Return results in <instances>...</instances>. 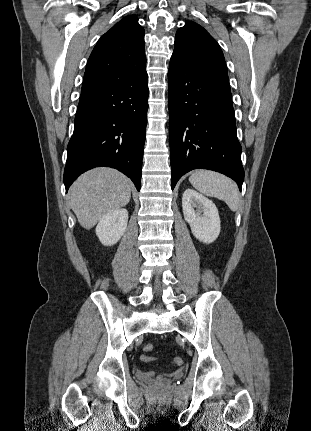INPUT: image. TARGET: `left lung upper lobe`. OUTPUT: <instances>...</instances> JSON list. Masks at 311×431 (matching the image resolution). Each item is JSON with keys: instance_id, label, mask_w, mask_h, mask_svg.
<instances>
[{"instance_id": "1", "label": "left lung upper lobe", "mask_w": 311, "mask_h": 431, "mask_svg": "<svg viewBox=\"0 0 311 431\" xmlns=\"http://www.w3.org/2000/svg\"><path fill=\"white\" fill-rule=\"evenodd\" d=\"M176 54L194 65L227 73L222 50L216 40L199 24L187 21L175 36Z\"/></svg>"}]
</instances>
